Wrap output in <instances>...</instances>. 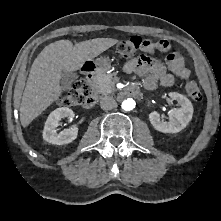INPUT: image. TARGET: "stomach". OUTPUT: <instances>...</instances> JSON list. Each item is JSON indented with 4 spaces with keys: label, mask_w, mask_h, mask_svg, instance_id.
<instances>
[{
    "label": "stomach",
    "mask_w": 221,
    "mask_h": 221,
    "mask_svg": "<svg viewBox=\"0 0 221 221\" xmlns=\"http://www.w3.org/2000/svg\"><path fill=\"white\" fill-rule=\"evenodd\" d=\"M95 65L98 70L106 71L110 68V62L108 58H99L96 60Z\"/></svg>",
    "instance_id": "obj_1"
}]
</instances>
